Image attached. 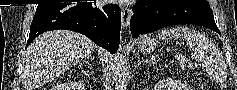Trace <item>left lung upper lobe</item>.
<instances>
[{
	"instance_id": "5c2ea615",
	"label": "left lung upper lobe",
	"mask_w": 237,
	"mask_h": 90,
	"mask_svg": "<svg viewBox=\"0 0 237 90\" xmlns=\"http://www.w3.org/2000/svg\"><path fill=\"white\" fill-rule=\"evenodd\" d=\"M192 5L197 6H209L208 2L206 0H184Z\"/></svg>"
}]
</instances>
